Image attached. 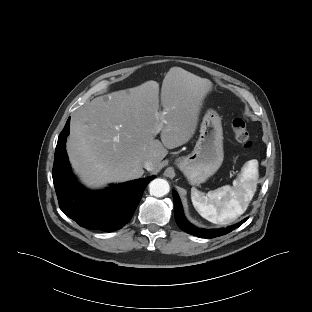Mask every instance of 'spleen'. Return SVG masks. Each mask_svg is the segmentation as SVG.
<instances>
[{
  "label": "spleen",
  "instance_id": "3e777b00",
  "mask_svg": "<svg viewBox=\"0 0 312 312\" xmlns=\"http://www.w3.org/2000/svg\"><path fill=\"white\" fill-rule=\"evenodd\" d=\"M245 168L233 186L225 185L204 196L196 188L191 189V200L196 211L215 224H229L241 216L252 200L256 185L253 181L256 164ZM255 170V171H254Z\"/></svg>",
  "mask_w": 312,
  "mask_h": 312
}]
</instances>
